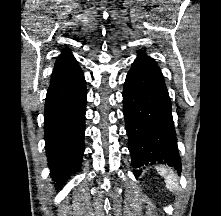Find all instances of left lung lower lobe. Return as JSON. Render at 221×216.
Returning a JSON list of instances; mask_svg holds the SVG:
<instances>
[{
	"label": "left lung lower lobe",
	"mask_w": 221,
	"mask_h": 216,
	"mask_svg": "<svg viewBox=\"0 0 221 216\" xmlns=\"http://www.w3.org/2000/svg\"><path fill=\"white\" fill-rule=\"evenodd\" d=\"M123 113L132 166L167 163L181 171L170 97L156 61L139 52L123 91ZM137 177L140 170H134Z\"/></svg>",
	"instance_id": "0a47b994"
}]
</instances>
